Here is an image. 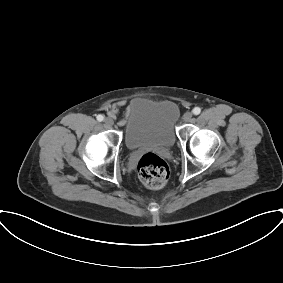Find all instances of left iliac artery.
<instances>
[{"label": "left iliac artery", "mask_w": 283, "mask_h": 283, "mask_svg": "<svg viewBox=\"0 0 283 283\" xmlns=\"http://www.w3.org/2000/svg\"><path fill=\"white\" fill-rule=\"evenodd\" d=\"M200 112H201V109H200L199 107H195V108L193 109V114H194V115H198V114H200Z\"/></svg>", "instance_id": "44dca946"}]
</instances>
